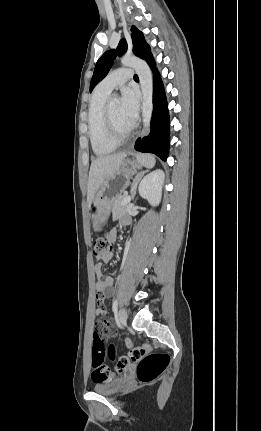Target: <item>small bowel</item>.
Wrapping results in <instances>:
<instances>
[{
  "label": "small bowel",
  "instance_id": "c3829d8e",
  "mask_svg": "<svg viewBox=\"0 0 261 431\" xmlns=\"http://www.w3.org/2000/svg\"><path fill=\"white\" fill-rule=\"evenodd\" d=\"M120 221L122 223H127L128 218L127 217H121ZM117 237V233L115 230H111L107 235L106 239L108 242L113 243L115 242ZM113 255L111 253L106 254L102 258H100V262L96 264L95 266V274L97 277L96 281V300L98 301L96 303V316H103L107 314V305L104 303L107 298H110L113 295V279L110 277H105L102 273V264L108 263L112 259ZM99 323L96 327V334L97 336L101 337L102 341L103 338L111 333V326L108 321H106L105 318H100ZM127 348L133 347L132 341L126 342ZM128 365L126 366V368Z\"/></svg>",
  "mask_w": 261,
  "mask_h": 431
}]
</instances>
